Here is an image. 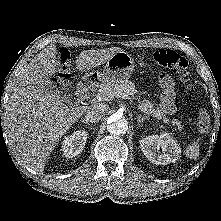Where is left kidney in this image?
I'll return each instance as SVG.
<instances>
[{"mask_svg":"<svg viewBox=\"0 0 221 221\" xmlns=\"http://www.w3.org/2000/svg\"><path fill=\"white\" fill-rule=\"evenodd\" d=\"M140 148L148 160L154 164L167 165L180 158L181 148L170 133L149 135L140 140Z\"/></svg>","mask_w":221,"mask_h":221,"instance_id":"left-kidney-1","label":"left kidney"}]
</instances>
